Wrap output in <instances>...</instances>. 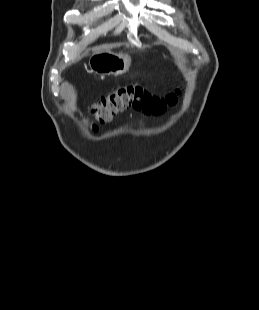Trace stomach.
Listing matches in <instances>:
<instances>
[{
	"mask_svg": "<svg viewBox=\"0 0 259 310\" xmlns=\"http://www.w3.org/2000/svg\"><path fill=\"white\" fill-rule=\"evenodd\" d=\"M130 65V55L111 51L96 52L89 60V66L93 72L105 75L124 74L129 70Z\"/></svg>",
	"mask_w": 259,
	"mask_h": 310,
	"instance_id": "0dacf381",
	"label": "stomach"
}]
</instances>
